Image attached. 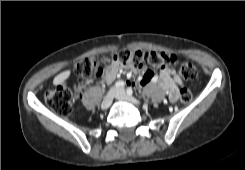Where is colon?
I'll return each instance as SVG.
<instances>
[{
  "mask_svg": "<svg viewBox=\"0 0 245 170\" xmlns=\"http://www.w3.org/2000/svg\"><path fill=\"white\" fill-rule=\"evenodd\" d=\"M176 62V56L171 53H159L127 49L112 56L102 58L88 57L76 65L78 83L72 88L61 84L48 90L44 95L47 106L59 115H69L73 110L75 99L87 89L92 79L98 78L107 67H123L126 69L146 68L161 69ZM179 73L184 79L193 80L196 77V68L190 62H182ZM179 100L188 105L192 101V94L188 89H182Z\"/></svg>",
  "mask_w": 245,
  "mask_h": 170,
  "instance_id": "colon-1",
  "label": "colon"
}]
</instances>
